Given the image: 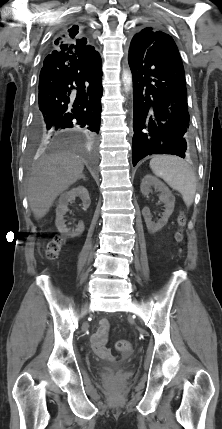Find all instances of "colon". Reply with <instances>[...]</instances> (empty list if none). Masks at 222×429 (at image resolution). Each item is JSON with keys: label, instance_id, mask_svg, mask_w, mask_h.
<instances>
[{"label": "colon", "instance_id": "1", "mask_svg": "<svg viewBox=\"0 0 222 429\" xmlns=\"http://www.w3.org/2000/svg\"><path fill=\"white\" fill-rule=\"evenodd\" d=\"M186 218L183 213H180L178 217V223L180 227H183L185 225ZM182 232H178L176 235V238L178 241L182 240ZM63 239L60 236H55L52 239H50L46 244V255L50 259H55L58 255V252L60 250V246L62 244ZM116 348L117 350L121 352H130L132 350V344L128 340H118L116 342Z\"/></svg>", "mask_w": 222, "mask_h": 429}]
</instances>
